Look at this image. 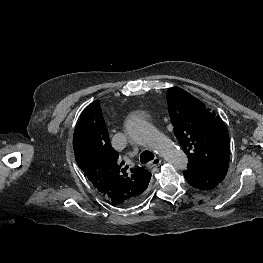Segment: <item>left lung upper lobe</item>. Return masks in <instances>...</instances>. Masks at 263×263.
Masks as SVG:
<instances>
[{
    "label": "left lung upper lobe",
    "instance_id": "5c2ea615",
    "mask_svg": "<svg viewBox=\"0 0 263 263\" xmlns=\"http://www.w3.org/2000/svg\"><path fill=\"white\" fill-rule=\"evenodd\" d=\"M166 97L175 136L188 156V167L228 168L230 140L220 117L179 87L170 88Z\"/></svg>",
    "mask_w": 263,
    "mask_h": 263
}]
</instances>
